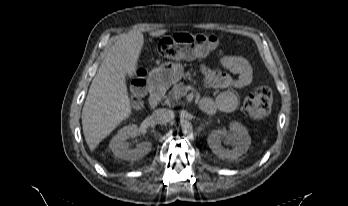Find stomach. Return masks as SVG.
Here are the masks:
<instances>
[{
	"label": "stomach",
	"instance_id": "1",
	"mask_svg": "<svg viewBox=\"0 0 348 206\" xmlns=\"http://www.w3.org/2000/svg\"><path fill=\"white\" fill-rule=\"evenodd\" d=\"M186 58H204L216 41L206 35L186 34L181 43ZM183 77V66L180 63L166 62L150 73V78L158 86L169 87Z\"/></svg>",
	"mask_w": 348,
	"mask_h": 206
}]
</instances>
